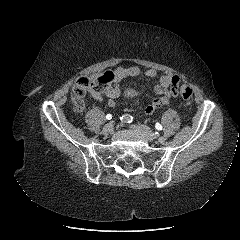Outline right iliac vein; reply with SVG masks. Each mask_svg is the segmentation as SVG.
I'll return each instance as SVG.
<instances>
[{"label":"right iliac vein","instance_id":"63e3f726","mask_svg":"<svg viewBox=\"0 0 240 240\" xmlns=\"http://www.w3.org/2000/svg\"><path fill=\"white\" fill-rule=\"evenodd\" d=\"M114 130V123L113 122H109L107 123L104 128H103V133L104 134H110L112 133Z\"/></svg>","mask_w":240,"mask_h":240}]
</instances>
